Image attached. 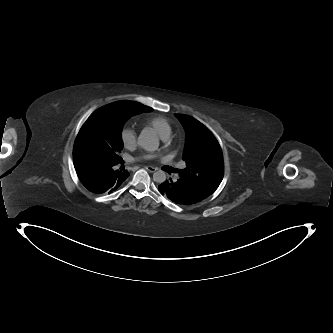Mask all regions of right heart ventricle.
Wrapping results in <instances>:
<instances>
[{"mask_svg":"<svg viewBox=\"0 0 333 333\" xmlns=\"http://www.w3.org/2000/svg\"><path fill=\"white\" fill-rule=\"evenodd\" d=\"M146 123L154 128L158 134L163 138L169 135L171 132V126L168 121L160 116L149 117L146 119Z\"/></svg>","mask_w":333,"mask_h":333,"instance_id":"e07e8e85","label":"right heart ventricle"}]
</instances>
